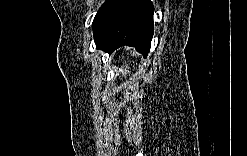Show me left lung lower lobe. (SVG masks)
I'll use <instances>...</instances> for the list:
<instances>
[{"instance_id":"0a47b994","label":"left lung lower lobe","mask_w":247,"mask_h":156,"mask_svg":"<svg viewBox=\"0 0 247 156\" xmlns=\"http://www.w3.org/2000/svg\"><path fill=\"white\" fill-rule=\"evenodd\" d=\"M153 13L150 0H106L92 24L96 48L112 52L128 45L147 56L154 30Z\"/></svg>"}]
</instances>
